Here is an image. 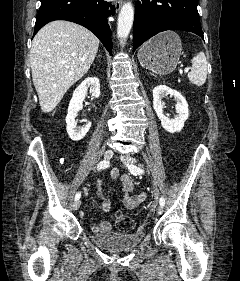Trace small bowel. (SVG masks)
<instances>
[{"mask_svg":"<svg viewBox=\"0 0 240 281\" xmlns=\"http://www.w3.org/2000/svg\"><path fill=\"white\" fill-rule=\"evenodd\" d=\"M111 180L114 182L120 180L123 192V205L128 209H134L143 203L146 199V194L144 192H138L133 194L134 183L131 177L127 174H121L118 168H113L110 173ZM87 188H84V194H88ZM97 194L101 198V211L105 214L109 213L112 209V202L109 198L105 196L104 189L102 187V180L99 178L97 180ZM83 216L84 213L81 212ZM91 230L94 233H104L111 230V224L107 220H102L98 224L92 225Z\"/></svg>","mask_w":240,"mask_h":281,"instance_id":"small-bowel-1","label":"small bowel"}]
</instances>
